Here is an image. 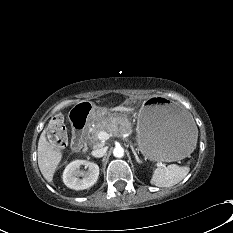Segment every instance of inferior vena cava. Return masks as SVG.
Wrapping results in <instances>:
<instances>
[{"mask_svg": "<svg viewBox=\"0 0 233 233\" xmlns=\"http://www.w3.org/2000/svg\"><path fill=\"white\" fill-rule=\"evenodd\" d=\"M107 152V147L98 148L92 151L94 157L100 158L103 157Z\"/></svg>", "mask_w": 233, "mask_h": 233, "instance_id": "inferior-vena-cava-1", "label": "inferior vena cava"}]
</instances>
